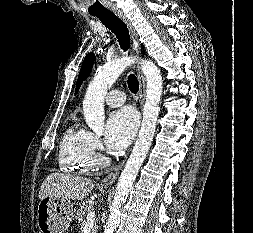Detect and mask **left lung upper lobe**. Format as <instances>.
<instances>
[{
  "mask_svg": "<svg viewBox=\"0 0 253 233\" xmlns=\"http://www.w3.org/2000/svg\"><path fill=\"white\" fill-rule=\"evenodd\" d=\"M94 61H95V57H94L93 52L89 53L85 57L80 73H79L75 92L78 91V89L80 88L82 84V81L90 74Z\"/></svg>",
  "mask_w": 253,
  "mask_h": 233,
  "instance_id": "obj_1",
  "label": "left lung upper lobe"
}]
</instances>
